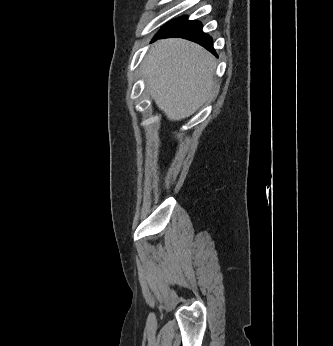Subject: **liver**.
<instances>
[{
  "instance_id": "6515ba94",
  "label": "liver",
  "mask_w": 333,
  "mask_h": 346,
  "mask_svg": "<svg viewBox=\"0 0 333 346\" xmlns=\"http://www.w3.org/2000/svg\"><path fill=\"white\" fill-rule=\"evenodd\" d=\"M144 77L156 105L169 120L194 114L214 87V56L184 39H163L146 55Z\"/></svg>"
}]
</instances>
